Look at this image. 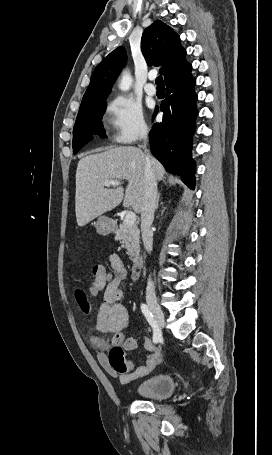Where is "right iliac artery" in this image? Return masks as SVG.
<instances>
[{
	"instance_id": "obj_1",
	"label": "right iliac artery",
	"mask_w": 272,
	"mask_h": 455,
	"mask_svg": "<svg viewBox=\"0 0 272 455\" xmlns=\"http://www.w3.org/2000/svg\"><path fill=\"white\" fill-rule=\"evenodd\" d=\"M141 311L153 329V342L158 343L162 339V334L153 314L150 312L146 304L141 305Z\"/></svg>"
}]
</instances>
